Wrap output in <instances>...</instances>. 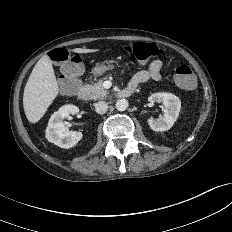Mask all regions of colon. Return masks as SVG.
Returning <instances> with one entry per match:
<instances>
[{
    "instance_id": "colon-1",
    "label": "colon",
    "mask_w": 232,
    "mask_h": 232,
    "mask_svg": "<svg viewBox=\"0 0 232 232\" xmlns=\"http://www.w3.org/2000/svg\"><path fill=\"white\" fill-rule=\"evenodd\" d=\"M123 49L140 62H146L163 52L158 45L147 42L125 45ZM49 57L52 61L61 65V90L66 93L74 91L78 85V76L81 72V60L78 57H72L70 52L63 48L52 50ZM174 81L178 87L184 90L194 89L197 83L196 76L187 65H180L175 69Z\"/></svg>"
}]
</instances>
